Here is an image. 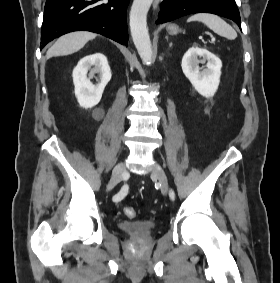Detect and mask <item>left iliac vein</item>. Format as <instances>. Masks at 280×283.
Returning <instances> with one entry per match:
<instances>
[{
  "instance_id": "1",
  "label": "left iliac vein",
  "mask_w": 280,
  "mask_h": 283,
  "mask_svg": "<svg viewBox=\"0 0 280 283\" xmlns=\"http://www.w3.org/2000/svg\"><path fill=\"white\" fill-rule=\"evenodd\" d=\"M151 175L155 177L161 185V192L165 195L169 190L168 186V178L163 170V168L159 164H154L151 169Z\"/></svg>"
}]
</instances>
